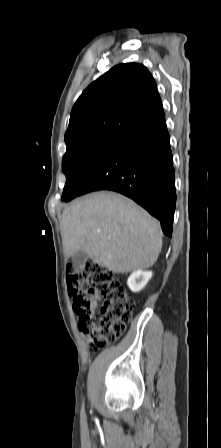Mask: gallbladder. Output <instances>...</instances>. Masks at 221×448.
<instances>
[{
    "instance_id": "gallbladder-1",
    "label": "gallbladder",
    "mask_w": 221,
    "mask_h": 448,
    "mask_svg": "<svg viewBox=\"0 0 221 448\" xmlns=\"http://www.w3.org/2000/svg\"><path fill=\"white\" fill-rule=\"evenodd\" d=\"M88 259V254L85 251H77L72 256V262L74 267L81 268L85 265L86 261Z\"/></svg>"
}]
</instances>
